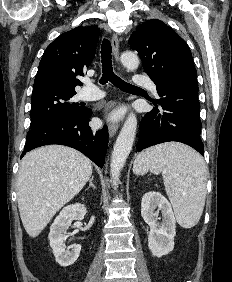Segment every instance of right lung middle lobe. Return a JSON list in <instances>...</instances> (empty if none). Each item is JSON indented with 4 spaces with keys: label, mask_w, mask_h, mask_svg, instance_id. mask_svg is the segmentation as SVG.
<instances>
[{
    "label": "right lung middle lobe",
    "mask_w": 232,
    "mask_h": 282,
    "mask_svg": "<svg viewBox=\"0 0 232 282\" xmlns=\"http://www.w3.org/2000/svg\"><path fill=\"white\" fill-rule=\"evenodd\" d=\"M76 94L72 90L49 89L36 91L31 97V124L35 128L62 114H81L87 108L70 99Z\"/></svg>",
    "instance_id": "obj_1"
}]
</instances>
